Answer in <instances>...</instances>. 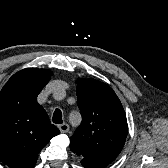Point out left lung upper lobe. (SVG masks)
I'll return each instance as SVG.
<instances>
[{
    "label": "left lung upper lobe",
    "mask_w": 168,
    "mask_h": 168,
    "mask_svg": "<svg viewBox=\"0 0 168 168\" xmlns=\"http://www.w3.org/2000/svg\"><path fill=\"white\" fill-rule=\"evenodd\" d=\"M77 105L82 123L72 135L70 148L81 162L108 166L125 144L128 125L115 92L95 79H77Z\"/></svg>",
    "instance_id": "left-lung-upper-lobe-1"
}]
</instances>
